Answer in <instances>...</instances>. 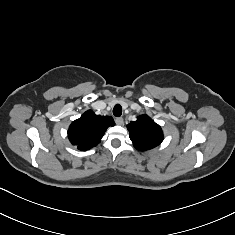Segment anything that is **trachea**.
<instances>
[{"mask_svg": "<svg viewBox=\"0 0 235 235\" xmlns=\"http://www.w3.org/2000/svg\"><path fill=\"white\" fill-rule=\"evenodd\" d=\"M113 114L117 117H120L122 115V107L119 104H116L113 108Z\"/></svg>", "mask_w": 235, "mask_h": 235, "instance_id": "obj_1", "label": "trachea"}]
</instances>
